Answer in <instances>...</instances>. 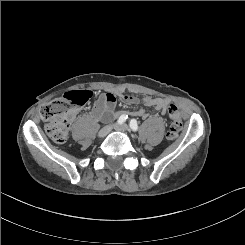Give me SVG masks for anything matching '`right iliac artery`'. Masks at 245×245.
Instances as JSON below:
<instances>
[{
	"label": "right iliac artery",
	"instance_id": "right-iliac-artery-1",
	"mask_svg": "<svg viewBox=\"0 0 245 245\" xmlns=\"http://www.w3.org/2000/svg\"><path fill=\"white\" fill-rule=\"evenodd\" d=\"M127 118H128V115L122 114V115L119 117L117 123H118V124H123V123L127 120Z\"/></svg>",
	"mask_w": 245,
	"mask_h": 245
}]
</instances>
